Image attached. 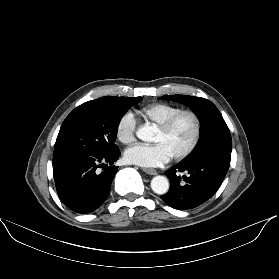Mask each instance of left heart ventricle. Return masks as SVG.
<instances>
[{
	"label": "left heart ventricle",
	"mask_w": 279,
	"mask_h": 279,
	"mask_svg": "<svg viewBox=\"0 0 279 279\" xmlns=\"http://www.w3.org/2000/svg\"><path fill=\"white\" fill-rule=\"evenodd\" d=\"M194 134V123L190 116H181L167 132L157 130L154 138L155 143H163L171 155L183 151L191 142Z\"/></svg>",
	"instance_id": "1"
}]
</instances>
